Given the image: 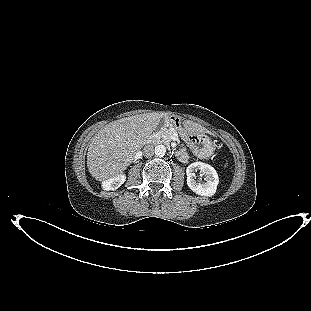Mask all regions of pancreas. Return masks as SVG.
<instances>
[{"mask_svg":"<svg viewBox=\"0 0 311 311\" xmlns=\"http://www.w3.org/2000/svg\"><path fill=\"white\" fill-rule=\"evenodd\" d=\"M177 131L174 128H164L155 133L156 138L159 139V142L170 143L171 136Z\"/></svg>","mask_w":311,"mask_h":311,"instance_id":"cf45deb5","label":"pancreas"}]
</instances>
